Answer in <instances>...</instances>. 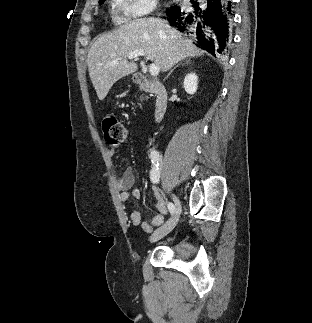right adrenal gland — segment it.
<instances>
[{
	"instance_id": "1",
	"label": "right adrenal gland",
	"mask_w": 312,
	"mask_h": 323,
	"mask_svg": "<svg viewBox=\"0 0 312 323\" xmlns=\"http://www.w3.org/2000/svg\"><path fill=\"white\" fill-rule=\"evenodd\" d=\"M185 62L186 64H191L192 60H190V58H186ZM178 66H181V64H178ZM178 66H176V68H178ZM176 68H173V70H176ZM173 70H171L170 74H172ZM170 74H168V76H170Z\"/></svg>"
}]
</instances>
